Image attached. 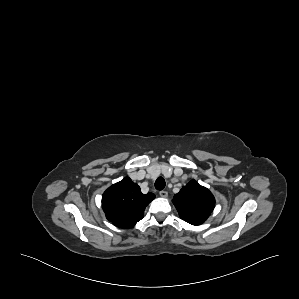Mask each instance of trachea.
Instances as JSON below:
<instances>
[{
    "instance_id": "obj_1",
    "label": "trachea",
    "mask_w": 299,
    "mask_h": 299,
    "mask_svg": "<svg viewBox=\"0 0 299 299\" xmlns=\"http://www.w3.org/2000/svg\"><path fill=\"white\" fill-rule=\"evenodd\" d=\"M165 180L163 177H158L157 180L155 181V188L157 190H163L165 188Z\"/></svg>"
}]
</instances>
